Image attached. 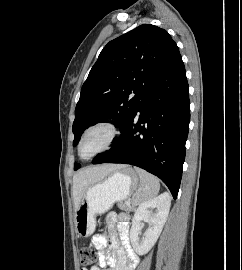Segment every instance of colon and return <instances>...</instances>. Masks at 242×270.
Masks as SVG:
<instances>
[{"label": "colon", "instance_id": "5ec220e1", "mask_svg": "<svg viewBox=\"0 0 242 270\" xmlns=\"http://www.w3.org/2000/svg\"><path fill=\"white\" fill-rule=\"evenodd\" d=\"M80 260L83 266H91L97 262L98 255L96 250L91 246H82L80 248Z\"/></svg>", "mask_w": 242, "mask_h": 270}]
</instances>
